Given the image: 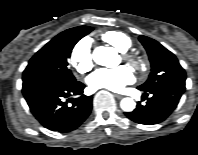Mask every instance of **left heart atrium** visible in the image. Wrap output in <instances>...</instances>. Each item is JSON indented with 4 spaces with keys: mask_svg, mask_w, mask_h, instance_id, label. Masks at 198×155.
I'll return each mask as SVG.
<instances>
[{
    "mask_svg": "<svg viewBox=\"0 0 198 155\" xmlns=\"http://www.w3.org/2000/svg\"><path fill=\"white\" fill-rule=\"evenodd\" d=\"M134 76L127 66H118L113 69H99L88 77V84L94 89H108L121 91L132 83Z\"/></svg>",
    "mask_w": 198,
    "mask_h": 155,
    "instance_id": "1",
    "label": "left heart atrium"
}]
</instances>
